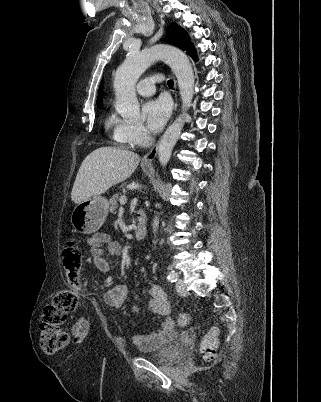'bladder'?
Returning <instances> with one entry per match:
<instances>
[{"instance_id":"bladder-1","label":"bladder","mask_w":321,"mask_h":402,"mask_svg":"<svg viewBox=\"0 0 321 402\" xmlns=\"http://www.w3.org/2000/svg\"><path fill=\"white\" fill-rule=\"evenodd\" d=\"M141 355L166 365L173 364L177 360L172 343L163 344L155 352L141 353Z\"/></svg>"}]
</instances>
